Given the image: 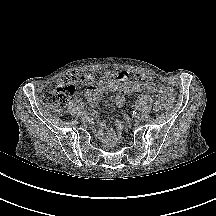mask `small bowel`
<instances>
[{
    "instance_id": "small-bowel-1",
    "label": "small bowel",
    "mask_w": 216,
    "mask_h": 216,
    "mask_svg": "<svg viewBox=\"0 0 216 216\" xmlns=\"http://www.w3.org/2000/svg\"><path fill=\"white\" fill-rule=\"evenodd\" d=\"M88 77L90 82L87 83L85 96L92 106H96L102 96L108 91L124 93L147 91L156 95L155 109L157 111L162 109L164 92L167 88L158 84L149 73H143L135 79H129L128 73L118 68L114 71H105L97 83H94V76L88 75ZM112 102L117 107L121 108L126 103V97L122 94H118L112 98ZM122 132L123 126L118 122L116 132L108 138V141L115 142Z\"/></svg>"
}]
</instances>
